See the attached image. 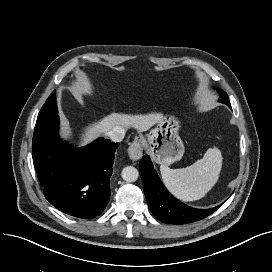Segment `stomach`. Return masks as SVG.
<instances>
[{
    "instance_id": "obj_1",
    "label": "stomach",
    "mask_w": 272,
    "mask_h": 272,
    "mask_svg": "<svg viewBox=\"0 0 272 272\" xmlns=\"http://www.w3.org/2000/svg\"><path fill=\"white\" fill-rule=\"evenodd\" d=\"M180 121L171 115L162 116L146 136L150 154L155 162L170 165L180 160L185 148L179 136Z\"/></svg>"
}]
</instances>
